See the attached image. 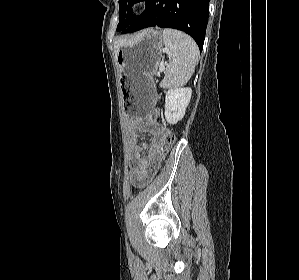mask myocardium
<instances>
[{
	"label": "myocardium",
	"instance_id": "myocardium-1",
	"mask_svg": "<svg viewBox=\"0 0 299 280\" xmlns=\"http://www.w3.org/2000/svg\"><path fill=\"white\" fill-rule=\"evenodd\" d=\"M146 5V1L136 0L131 6V11L134 14H139L146 8Z\"/></svg>",
	"mask_w": 299,
	"mask_h": 280
}]
</instances>
